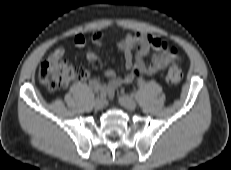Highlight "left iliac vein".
<instances>
[{
	"label": "left iliac vein",
	"instance_id": "1",
	"mask_svg": "<svg viewBox=\"0 0 231 170\" xmlns=\"http://www.w3.org/2000/svg\"><path fill=\"white\" fill-rule=\"evenodd\" d=\"M119 103L130 111H134L137 108V103L128 95H121Z\"/></svg>",
	"mask_w": 231,
	"mask_h": 170
}]
</instances>
